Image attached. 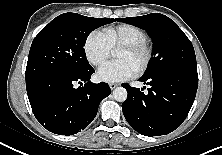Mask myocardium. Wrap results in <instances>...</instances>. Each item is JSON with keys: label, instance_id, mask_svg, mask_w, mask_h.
Masks as SVG:
<instances>
[{"label": "myocardium", "instance_id": "1", "mask_svg": "<svg viewBox=\"0 0 222 155\" xmlns=\"http://www.w3.org/2000/svg\"><path fill=\"white\" fill-rule=\"evenodd\" d=\"M119 49L131 52V53H143L144 54V59H143L141 65L136 69L137 75H142L150 67L152 59H153V49L147 41L125 44V45L121 46Z\"/></svg>", "mask_w": 222, "mask_h": 155}]
</instances>
